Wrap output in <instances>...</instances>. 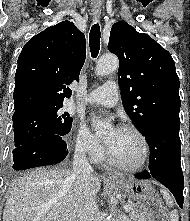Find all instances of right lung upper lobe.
<instances>
[{"label": "right lung upper lobe", "mask_w": 190, "mask_h": 221, "mask_svg": "<svg viewBox=\"0 0 190 221\" xmlns=\"http://www.w3.org/2000/svg\"><path fill=\"white\" fill-rule=\"evenodd\" d=\"M86 57L85 36L70 21L48 27L23 47L15 74V113L36 105L63 104L79 80Z\"/></svg>", "instance_id": "right-lung-upper-lobe-1"}]
</instances>
